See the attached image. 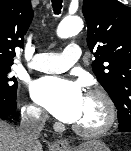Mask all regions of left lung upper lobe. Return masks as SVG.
Here are the masks:
<instances>
[{"label": "left lung upper lobe", "instance_id": "5c2ea615", "mask_svg": "<svg viewBox=\"0 0 131 151\" xmlns=\"http://www.w3.org/2000/svg\"><path fill=\"white\" fill-rule=\"evenodd\" d=\"M92 70L118 109L119 128L131 125V8L117 0H83Z\"/></svg>", "mask_w": 131, "mask_h": 151}]
</instances>
